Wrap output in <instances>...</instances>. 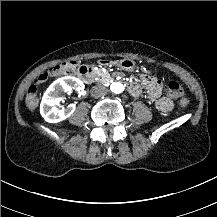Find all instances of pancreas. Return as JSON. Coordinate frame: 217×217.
I'll use <instances>...</instances> for the list:
<instances>
[{"mask_svg":"<svg viewBox=\"0 0 217 217\" xmlns=\"http://www.w3.org/2000/svg\"><path fill=\"white\" fill-rule=\"evenodd\" d=\"M107 75H108L107 73H102L100 76H101L102 78H106Z\"/></svg>","mask_w":217,"mask_h":217,"instance_id":"pancreas-1","label":"pancreas"}]
</instances>
